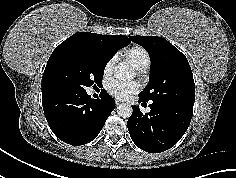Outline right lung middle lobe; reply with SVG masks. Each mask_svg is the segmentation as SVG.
I'll return each instance as SVG.
<instances>
[{
	"mask_svg": "<svg viewBox=\"0 0 236 178\" xmlns=\"http://www.w3.org/2000/svg\"><path fill=\"white\" fill-rule=\"evenodd\" d=\"M114 51L71 46L61 50L48 62L42 77V94L57 92H85L86 87L100 83L106 64Z\"/></svg>",
	"mask_w": 236,
	"mask_h": 178,
	"instance_id": "dd1d6c3e",
	"label": "right lung middle lobe"
}]
</instances>
